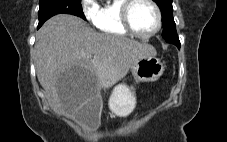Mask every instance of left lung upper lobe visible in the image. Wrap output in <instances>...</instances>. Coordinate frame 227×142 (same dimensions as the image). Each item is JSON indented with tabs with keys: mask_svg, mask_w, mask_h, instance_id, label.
I'll list each match as a JSON object with an SVG mask.
<instances>
[{
	"mask_svg": "<svg viewBox=\"0 0 227 142\" xmlns=\"http://www.w3.org/2000/svg\"><path fill=\"white\" fill-rule=\"evenodd\" d=\"M162 13L163 33L162 37L168 42L180 48V41L176 32V24L173 19L172 0H154Z\"/></svg>",
	"mask_w": 227,
	"mask_h": 142,
	"instance_id": "obj_1",
	"label": "left lung upper lobe"
}]
</instances>
